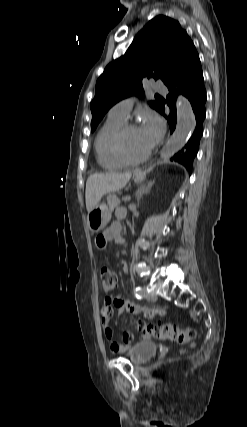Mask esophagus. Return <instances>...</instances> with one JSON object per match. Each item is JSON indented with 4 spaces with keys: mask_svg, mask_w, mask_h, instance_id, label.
<instances>
[{
    "mask_svg": "<svg viewBox=\"0 0 247 427\" xmlns=\"http://www.w3.org/2000/svg\"><path fill=\"white\" fill-rule=\"evenodd\" d=\"M135 173L136 174H141L142 172H141V170H136Z\"/></svg>",
    "mask_w": 247,
    "mask_h": 427,
    "instance_id": "esophagus-1",
    "label": "esophagus"
}]
</instances>
